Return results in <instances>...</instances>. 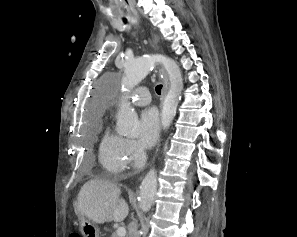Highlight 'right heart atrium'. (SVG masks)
<instances>
[{
	"instance_id": "obj_1",
	"label": "right heart atrium",
	"mask_w": 297,
	"mask_h": 237,
	"mask_svg": "<svg viewBox=\"0 0 297 237\" xmlns=\"http://www.w3.org/2000/svg\"><path fill=\"white\" fill-rule=\"evenodd\" d=\"M126 154L128 165L136 167L141 161L143 151L135 141L128 140L126 145Z\"/></svg>"
}]
</instances>
